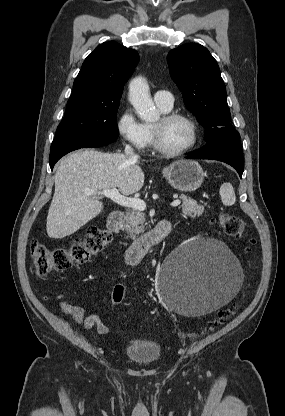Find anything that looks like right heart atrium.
I'll use <instances>...</instances> for the list:
<instances>
[{"instance_id": "right-heart-atrium-1", "label": "right heart atrium", "mask_w": 285, "mask_h": 416, "mask_svg": "<svg viewBox=\"0 0 285 416\" xmlns=\"http://www.w3.org/2000/svg\"><path fill=\"white\" fill-rule=\"evenodd\" d=\"M117 127L122 140L135 149L141 151L149 146L146 126L137 119L131 107H125L120 111Z\"/></svg>"}]
</instances>
